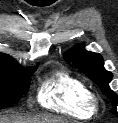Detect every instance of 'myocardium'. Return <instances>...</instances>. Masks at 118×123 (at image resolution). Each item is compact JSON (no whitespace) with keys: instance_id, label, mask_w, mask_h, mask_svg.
<instances>
[{"instance_id":"myocardium-1","label":"myocardium","mask_w":118,"mask_h":123,"mask_svg":"<svg viewBox=\"0 0 118 123\" xmlns=\"http://www.w3.org/2000/svg\"><path fill=\"white\" fill-rule=\"evenodd\" d=\"M88 105L94 112H97L100 106V98L94 94L90 93L88 96Z\"/></svg>"}]
</instances>
